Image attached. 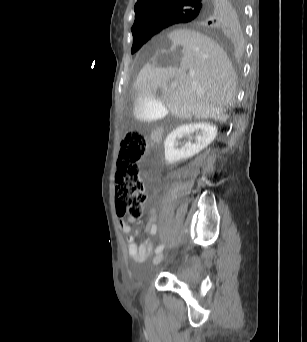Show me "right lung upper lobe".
Wrapping results in <instances>:
<instances>
[{
  "label": "right lung upper lobe",
  "mask_w": 307,
  "mask_h": 342,
  "mask_svg": "<svg viewBox=\"0 0 307 342\" xmlns=\"http://www.w3.org/2000/svg\"><path fill=\"white\" fill-rule=\"evenodd\" d=\"M235 4L233 0H138L132 34L190 23L204 34L225 39L231 32V12ZM186 10L195 11V15L183 22L169 21L172 15Z\"/></svg>",
  "instance_id": "obj_1"
}]
</instances>
